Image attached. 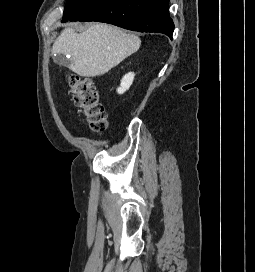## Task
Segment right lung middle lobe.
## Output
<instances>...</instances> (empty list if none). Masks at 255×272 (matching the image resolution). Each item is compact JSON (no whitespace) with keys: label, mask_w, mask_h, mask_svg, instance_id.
<instances>
[{"label":"right lung middle lobe","mask_w":255,"mask_h":272,"mask_svg":"<svg viewBox=\"0 0 255 272\" xmlns=\"http://www.w3.org/2000/svg\"><path fill=\"white\" fill-rule=\"evenodd\" d=\"M89 1L90 0H68L64 9L62 22L68 19L72 14H74L79 8H81Z\"/></svg>","instance_id":"right-lung-middle-lobe-1"}]
</instances>
